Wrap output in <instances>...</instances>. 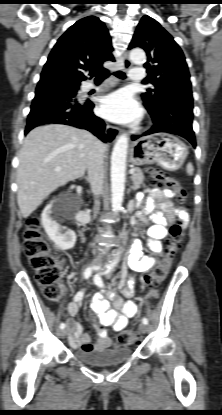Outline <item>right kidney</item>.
<instances>
[{
    "label": "right kidney",
    "mask_w": 222,
    "mask_h": 415,
    "mask_svg": "<svg viewBox=\"0 0 222 415\" xmlns=\"http://www.w3.org/2000/svg\"><path fill=\"white\" fill-rule=\"evenodd\" d=\"M57 205H47L41 214V223L48 237L62 250L74 247L76 234L65 226H61L56 220Z\"/></svg>",
    "instance_id": "right-kidney-1"
}]
</instances>
